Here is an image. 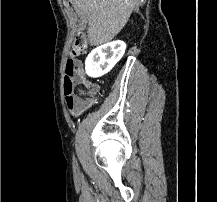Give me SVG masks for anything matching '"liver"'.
<instances>
[{
	"instance_id": "obj_1",
	"label": "liver",
	"mask_w": 217,
	"mask_h": 202,
	"mask_svg": "<svg viewBox=\"0 0 217 202\" xmlns=\"http://www.w3.org/2000/svg\"><path fill=\"white\" fill-rule=\"evenodd\" d=\"M77 14L88 18L90 46L113 40L126 26L139 0H69Z\"/></svg>"
}]
</instances>
